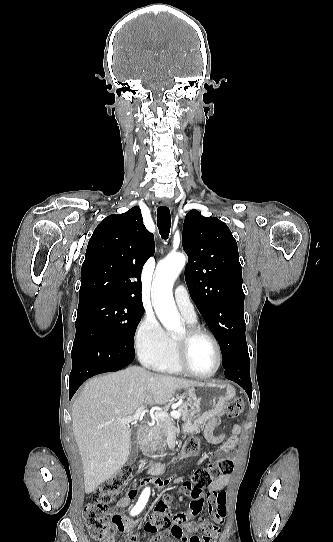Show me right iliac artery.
I'll return each instance as SVG.
<instances>
[{
  "label": "right iliac artery",
  "instance_id": "obj_1",
  "mask_svg": "<svg viewBox=\"0 0 333 542\" xmlns=\"http://www.w3.org/2000/svg\"><path fill=\"white\" fill-rule=\"evenodd\" d=\"M149 495H150V488L144 489L141 496L139 497V500H138L137 504L131 510L130 514L132 516H135V515L139 514L142 511V509L145 507V505H146V503L148 501Z\"/></svg>",
  "mask_w": 333,
  "mask_h": 542
}]
</instances>
